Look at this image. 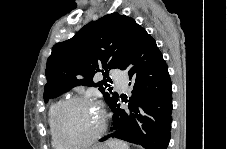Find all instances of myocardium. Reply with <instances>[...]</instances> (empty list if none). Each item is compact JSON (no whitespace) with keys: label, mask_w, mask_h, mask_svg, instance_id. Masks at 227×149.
I'll list each match as a JSON object with an SVG mask.
<instances>
[{"label":"myocardium","mask_w":227,"mask_h":149,"mask_svg":"<svg viewBox=\"0 0 227 149\" xmlns=\"http://www.w3.org/2000/svg\"><path fill=\"white\" fill-rule=\"evenodd\" d=\"M73 103H92L97 107V109L100 112L101 121H100L99 128L97 129V131L94 134H92L90 137H88L84 140L68 141L61 134L60 119H61L62 113L69 105H71ZM106 119H107L106 112L98 101L85 97V96H73L71 98H68V99L62 101L59 104V106L57 107L55 114H54V118H53L54 133H55L57 141L62 146H68V147L90 146L93 143H95L104 133V131L106 129Z\"/></svg>","instance_id":"myocardium-1"}]
</instances>
